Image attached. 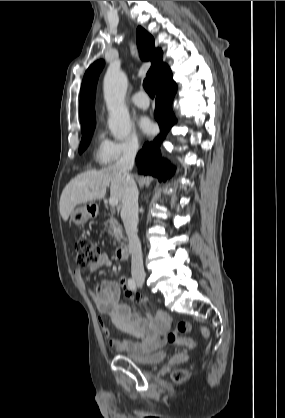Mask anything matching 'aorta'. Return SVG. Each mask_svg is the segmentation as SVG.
<instances>
[{"label": "aorta", "mask_w": 285, "mask_h": 418, "mask_svg": "<svg viewBox=\"0 0 285 418\" xmlns=\"http://www.w3.org/2000/svg\"><path fill=\"white\" fill-rule=\"evenodd\" d=\"M104 97L109 111L108 127L118 140H124L131 131V121L124 99L128 81L118 67L109 68L104 78Z\"/></svg>", "instance_id": "aorta-1"}]
</instances>
